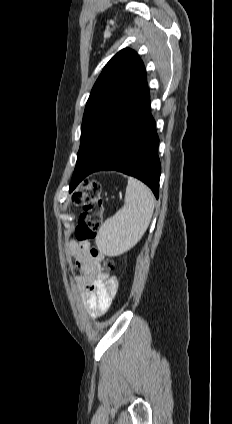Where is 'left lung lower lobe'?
Wrapping results in <instances>:
<instances>
[{"label":"left lung lower lobe","mask_w":232,"mask_h":424,"mask_svg":"<svg viewBox=\"0 0 232 424\" xmlns=\"http://www.w3.org/2000/svg\"><path fill=\"white\" fill-rule=\"evenodd\" d=\"M158 144L145 82L95 140L84 168L73 174L70 192L93 172L116 170L140 179L158 198L161 172Z\"/></svg>","instance_id":"0a47b994"}]
</instances>
